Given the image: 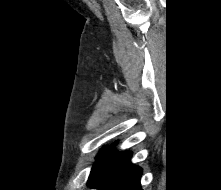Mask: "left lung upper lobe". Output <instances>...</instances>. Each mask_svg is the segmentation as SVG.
Returning a JSON list of instances; mask_svg holds the SVG:
<instances>
[{"instance_id": "left-lung-upper-lobe-1", "label": "left lung upper lobe", "mask_w": 221, "mask_h": 190, "mask_svg": "<svg viewBox=\"0 0 221 190\" xmlns=\"http://www.w3.org/2000/svg\"><path fill=\"white\" fill-rule=\"evenodd\" d=\"M106 150V147H104L101 151H100V154L98 155V157H96V159L98 160L100 158V155L103 154V152ZM94 168V166H93Z\"/></svg>"}]
</instances>
